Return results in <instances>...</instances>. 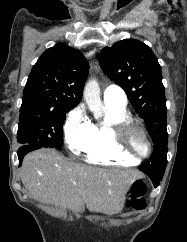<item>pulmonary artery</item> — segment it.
<instances>
[{
	"mask_svg": "<svg viewBox=\"0 0 187 242\" xmlns=\"http://www.w3.org/2000/svg\"><path fill=\"white\" fill-rule=\"evenodd\" d=\"M105 105L123 107L127 104V97L122 88L117 85H109L103 93Z\"/></svg>",
	"mask_w": 187,
	"mask_h": 242,
	"instance_id": "1",
	"label": "pulmonary artery"
}]
</instances>
